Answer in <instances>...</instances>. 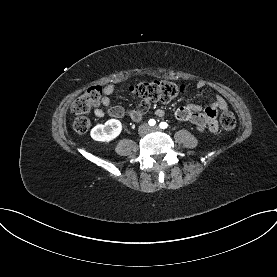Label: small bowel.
I'll return each mask as SVG.
<instances>
[{
    "label": "small bowel",
    "mask_w": 277,
    "mask_h": 277,
    "mask_svg": "<svg viewBox=\"0 0 277 277\" xmlns=\"http://www.w3.org/2000/svg\"><path fill=\"white\" fill-rule=\"evenodd\" d=\"M206 87V83L199 81L197 83L198 89H203ZM115 91V86L113 84H108L102 89L101 104L107 109L103 110L99 107L94 109V114L102 118L108 115L112 118H122L128 117L133 122L139 123L142 121L144 115L148 112L150 108V102L143 100L135 109H125L120 105L111 106V95ZM227 108V103L225 99L220 94H215L214 98L211 99L204 107L201 105L190 103L186 106L178 108L174 115L179 121H186L192 123L197 130L202 131L208 129L211 132H216L218 130V124L216 117L219 110H225ZM155 114L158 117H163L165 112L162 109H157Z\"/></svg>",
    "instance_id": "obj_1"
}]
</instances>
